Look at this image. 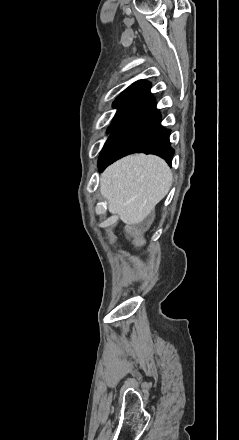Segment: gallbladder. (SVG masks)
I'll return each instance as SVG.
<instances>
[{"mask_svg":"<svg viewBox=\"0 0 239 440\" xmlns=\"http://www.w3.org/2000/svg\"><path fill=\"white\" fill-rule=\"evenodd\" d=\"M151 222H153L152 214H150V216H147V218H146V224H151Z\"/></svg>","mask_w":239,"mask_h":440,"instance_id":"bac80fb5","label":"gallbladder"}]
</instances>
